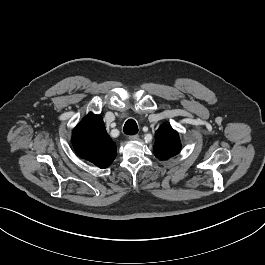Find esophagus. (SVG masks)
Here are the masks:
<instances>
[{
	"mask_svg": "<svg viewBox=\"0 0 265 265\" xmlns=\"http://www.w3.org/2000/svg\"><path fill=\"white\" fill-rule=\"evenodd\" d=\"M129 139H130L131 141H136V140L139 139V136H138V135H131V136H129Z\"/></svg>",
	"mask_w": 265,
	"mask_h": 265,
	"instance_id": "obj_1",
	"label": "esophagus"
}]
</instances>
